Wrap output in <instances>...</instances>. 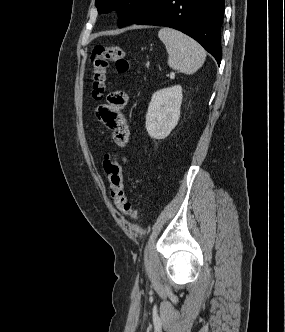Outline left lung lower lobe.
Segmentation results:
<instances>
[{
	"label": "left lung lower lobe",
	"instance_id": "left-lung-lower-lobe-1",
	"mask_svg": "<svg viewBox=\"0 0 285 332\" xmlns=\"http://www.w3.org/2000/svg\"><path fill=\"white\" fill-rule=\"evenodd\" d=\"M224 0H157L134 23L177 29L198 41L220 65Z\"/></svg>",
	"mask_w": 285,
	"mask_h": 332
}]
</instances>
